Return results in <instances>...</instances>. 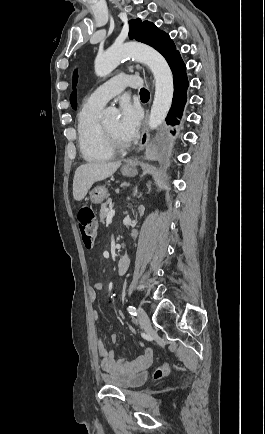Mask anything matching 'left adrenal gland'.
<instances>
[{
  "label": "left adrenal gland",
  "mask_w": 265,
  "mask_h": 434,
  "mask_svg": "<svg viewBox=\"0 0 265 434\" xmlns=\"http://www.w3.org/2000/svg\"><path fill=\"white\" fill-rule=\"evenodd\" d=\"M137 188H138V186H136V188H135L134 196H137ZM140 196H142V194H140ZM140 196H138V198H140Z\"/></svg>",
  "instance_id": "a2214340"
}]
</instances>
